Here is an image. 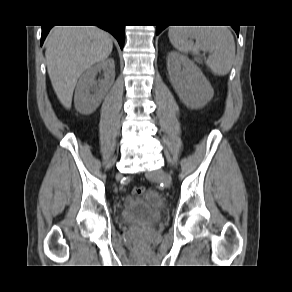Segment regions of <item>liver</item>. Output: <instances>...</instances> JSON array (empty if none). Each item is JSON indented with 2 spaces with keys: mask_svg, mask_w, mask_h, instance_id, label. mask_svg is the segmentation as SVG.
<instances>
[{
  "mask_svg": "<svg viewBox=\"0 0 292 292\" xmlns=\"http://www.w3.org/2000/svg\"><path fill=\"white\" fill-rule=\"evenodd\" d=\"M47 71L61 104L70 109L81 74L112 52L113 42L96 26H55L46 41Z\"/></svg>",
  "mask_w": 292,
  "mask_h": 292,
  "instance_id": "liver-1",
  "label": "liver"
}]
</instances>
